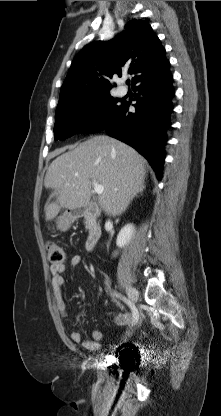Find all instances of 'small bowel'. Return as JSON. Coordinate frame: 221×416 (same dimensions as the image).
<instances>
[{
  "instance_id": "c3829d8e",
  "label": "small bowel",
  "mask_w": 221,
  "mask_h": 416,
  "mask_svg": "<svg viewBox=\"0 0 221 416\" xmlns=\"http://www.w3.org/2000/svg\"><path fill=\"white\" fill-rule=\"evenodd\" d=\"M82 258L80 255H72L69 258V264L71 267H78L81 265ZM65 270L64 264H51L50 272L52 275V290L55 304L63 316H66V303L64 300L63 286L65 284V279L63 277V272ZM132 320V315L126 312H119L114 317V322L118 325H127ZM130 335V331H126L125 334L121 337V341H126ZM102 334L99 330H93L91 332V339L83 341L82 336L79 332H72L70 334V339L74 343H81L83 348L87 351L94 352L100 348V341Z\"/></svg>"
}]
</instances>
